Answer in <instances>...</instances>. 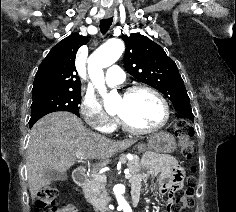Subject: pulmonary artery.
I'll return each instance as SVG.
<instances>
[{"mask_svg": "<svg viewBox=\"0 0 236 212\" xmlns=\"http://www.w3.org/2000/svg\"><path fill=\"white\" fill-rule=\"evenodd\" d=\"M125 79V75L123 70L117 66L112 65L107 69L106 74V85L109 87L116 86L118 84H121Z\"/></svg>", "mask_w": 236, "mask_h": 212, "instance_id": "e3ab8cb5", "label": "pulmonary artery"}]
</instances>
